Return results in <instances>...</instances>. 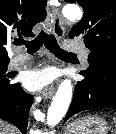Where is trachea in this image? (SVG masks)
<instances>
[{"label": "trachea", "instance_id": "1", "mask_svg": "<svg viewBox=\"0 0 116 134\" xmlns=\"http://www.w3.org/2000/svg\"><path fill=\"white\" fill-rule=\"evenodd\" d=\"M14 44L25 45V47L28 50V53L30 54L36 53L40 49V47L44 44V46L58 58L76 56V54L74 53L67 52L61 49L55 37L45 33L44 31L40 32V34L31 41H26L24 39H17L14 41Z\"/></svg>", "mask_w": 116, "mask_h": 134}]
</instances>
